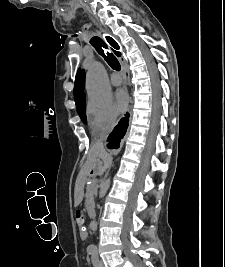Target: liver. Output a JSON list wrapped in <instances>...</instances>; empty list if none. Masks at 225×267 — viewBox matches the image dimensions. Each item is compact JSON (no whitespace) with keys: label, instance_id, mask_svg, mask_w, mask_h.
Wrapping results in <instances>:
<instances>
[{"label":"liver","instance_id":"obj_1","mask_svg":"<svg viewBox=\"0 0 225 267\" xmlns=\"http://www.w3.org/2000/svg\"><path fill=\"white\" fill-rule=\"evenodd\" d=\"M98 159L102 160V162L104 163L103 166L102 163H99ZM109 161L110 157L105 151L104 147L99 146L97 143L91 146L87 161L83 165L76 183L74 200L75 206H78L83 199L84 179L89 174L90 170L92 168H98L99 173H102L106 169Z\"/></svg>","mask_w":225,"mask_h":267}]
</instances>
